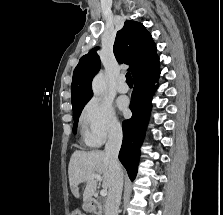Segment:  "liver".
I'll return each mask as SVG.
<instances>
[{"label":"liver","mask_w":223,"mask_h":215,"mask_svg":"<svg viewBox=\"0 0 223 215\" xmlns=\"http://www.w3.org/2000/svg\"><path fill=\"white\" fill-rule=\"evenodd\" d=\"M110 159L105 151L92 149V151H74L70 157L68 173L70 189L75 197H80L79 183L85 181L83 199H91L97 189V181L94 177H89L91 173H102L103 187H110L112 181L109 169Z\"/></svg>","instance_id":"obj_1"}]
</instances>
